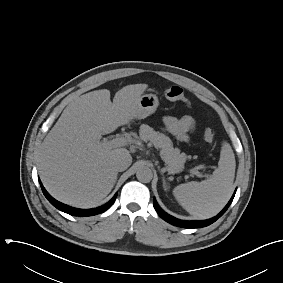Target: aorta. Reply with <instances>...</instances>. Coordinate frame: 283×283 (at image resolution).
<instances>
[{
  "mask_svg": "<svg viewBox=\"0 0 283 283\" xmlns=\"http://www.w3.org/2000/svg\"><path fill=\"white\" fill-rule=\"evenodd\" d=\"M136 177L139 181L148 183L153 178V172L148 166H140L137 170Z\"/></svg>",
  "mask_w": 283,
  "mask_h": 283,
  "instance_id": "1",
  "label": "aorta"
}]
</instances>
